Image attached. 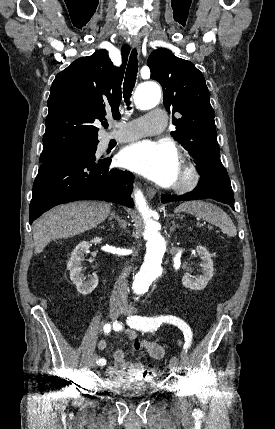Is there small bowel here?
I'll use <instances>...</instances> for the list:
<instances>
[{"instance_id": "small-bowel-1", "label": "small bowel", "mask_w": 275, "mask_h": 429, "mask_svg": "<svg viewBox=\"0 0 275 429\" xmlns=\"http://www.w3.org/2000/svg\"><path fill=\"white\" fill-rule=\"evenodd\" d=\"M126 336L134 341V346L138 345L140 348H143L147 353L154 359H162L165 356L164 348L156 342L148 340H138L136 338V333L133 329L128 328L125 331ZM98 348L101 350L108 349V343L105 339H101L98 343ZM113 364L107 367V372L111 376L121 372L127 375H137L143 371L144 364L139 361L128 362L125 359L124 351L120 348H116L113 351Z\"/></svg>"}]
</instances>
